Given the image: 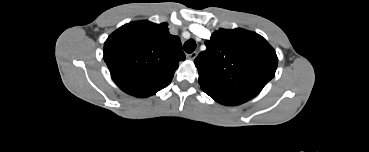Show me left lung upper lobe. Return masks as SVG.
I'll use <instances>...</instances> for the list:
<instances>
[{
	"label": "left lung upper lobe",
	"mask_w": 369,
	"mask_h": 152,
	"mask_svg": "<svg viewBox=\"0 0 369 152\" xmlns=\"http://www.w3.org/2000/svg\"><path fill=\"white\" fill-rule=\"evenodd\" d=\"M205 45L207 49L194 61L204 92L250 100L275 75V50L257 33L219 29Z\"/></svg>",
	"instance_id": "5c2ea615"
}]
</instances>
